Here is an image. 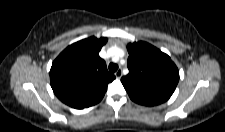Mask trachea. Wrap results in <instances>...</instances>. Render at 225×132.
Segmentation results:
<instances>
[{
	"instance_id": "3493384b",
	"label": "trachea",
	"mask_w": 225,
	"mask_h": 132,
	"mask_svg": "<svg viewBox=\"0 0 225 132\" xmlns=\"http://www.w3.org/2000/svg\"><path fill=\"white\" fill-rule=\"evenodd\" d=\"M117 69H118V65L117 64H114V63L109 64V70L111 72H116Z\"/></svg>"
}]
</instances>
